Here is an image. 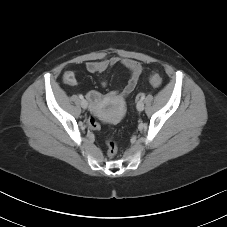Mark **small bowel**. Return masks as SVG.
Returning <instances> with one entry per match:
<instances>
[{
  "mask_svg": "<svg viewBox=\"0 0 227 227\" xmlns=\"http://www.w3.org/2000/svg\"><path fill=\"white\" fill-rule=\"evenodd\" d=\"M122 65L129 72V79L124 87L119 91H112L107 94L108 99L123 100L127 95H129L136 87L140 76L143 73V66L140 62L128 58H121L118 56H113L108 59H102L97 61H88L85 64V69L94 74H103L110 68L116 65ZM62 80L67 85H76L77 78L76 74L72 70H67L63 73ZM102 85L105 86L106 82L103 81ZM87 98L93 105L99 104L103 100V95L98 91H90L87 93Z\"/></svg>",
  "mask_w": 227,
  "mask_h": 227,
  "instance_id": "1",
  "label": "small bowel"
}]
</instances>
